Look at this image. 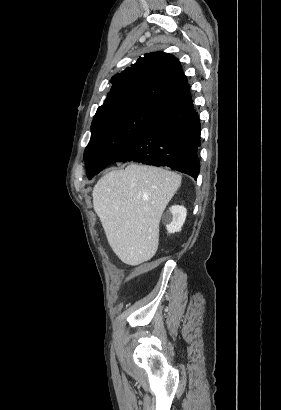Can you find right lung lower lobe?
<instances>
[{"label": "right lung lower lobe", "mask_w": 281, "mask_h": 410, "mask_svg": "<svg viewBox=\"0 0 281 410\" xmlns=\"http://www.w3.org/2000/svg\"><path fill=\"white\" fill-rule=\"evenodd\" d=\"M200 120L189 96L169 105L114 162L166 166L197 180Z\"/></svg>", "instance_id": "obj_1"}]
</instances>
